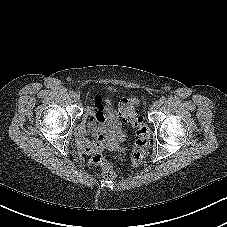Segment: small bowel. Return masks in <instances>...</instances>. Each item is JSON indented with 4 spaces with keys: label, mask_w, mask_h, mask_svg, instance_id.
<instances>
[{
    "label": "small bowel",
    "mask_w": 227,
    "mask_h": 227,
    "mask_svg": "<svg viewBox=\"0 0 227 227\" xmlns=\"http://www.w3.org/2000/svg\"><path fill=\"white\" fill-rule=\"evenodd\" d=\"M120 105L118 112L110 100L103 101L98 95L94 97V106L86 110L75 131L77 147L82 153L95 154L103 148L107 133L119 127ZM90 135L96 137V140H90Z\"/></svg>",
    "instance_id": "small-bowel-1"
}]
</instances>
